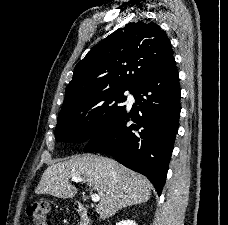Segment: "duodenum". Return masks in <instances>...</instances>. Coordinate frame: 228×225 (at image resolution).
Listing matches in <instances>:
<instances>
[{"instance_id": "obj_1", "label": "duodenum", "mask_w": 228, "mask_h": 225, "mask_svg": "<svg viewBox=\"0 0 228 225\" xmlns=\"http://www.w3.org/2000/svg\"><path fill=\"white\" fill-rule=\"evenodd\" d=\"M73 208L77 213V225H91L88 211L81 201H76Z\"/></svg>"}]
</instances>
